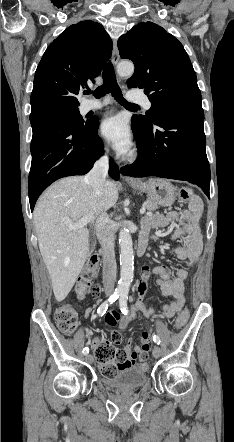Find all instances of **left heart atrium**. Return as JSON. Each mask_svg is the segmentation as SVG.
<instances>
[{"instance_id": "obj_1", "label": "left heart atrium", "mask_w": 234, "mask_h": 442, "mask_svg": "<svg viewBox=\"0 0 234 442\" xmlns=\"http://www.w3.org/2000/svg\"><path fill=\"white\" fill-rule=\"evenodd\" d=\"M101 135L112 145L118 154L129 152L132 145L130 128L121 115L105 118L100 127Z\"/></svg>"}]
</instances>
